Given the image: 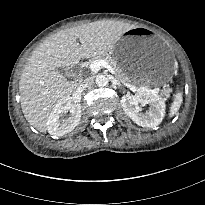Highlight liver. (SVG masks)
I'll return each instance as SVG.
<instances>
[{"mask_svg": "<svg viewBox=\"0 0 205 205\" xmlns=\"http://www.w3.org/2000/svg\"><path fill=\"white\" fill-rule=\"evenodd\" d=\"M134 27L101 20L62 30L40 44L28 59L19 82L22 112L30 125L46 132L50 112L77 88V82L68 81L58 68L110 52L120 37Z\"/></svg>", "mask_w": 205, "mask_h": 205, "instance_id": "obj_1", "label": "liver"}]
</instances>
